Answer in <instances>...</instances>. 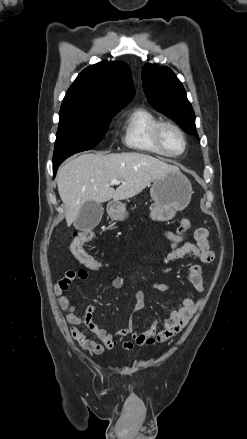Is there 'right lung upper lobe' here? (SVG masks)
I'll list each match as a JSON object with an SVG mask.
<instances>
[{"mask_svg": "<svg viewBox=\"0 0 247 439\" xmlns=\"http://www.w3.org/2000/svg\"><path fill=\"white\" fill-rule=\"evenodd\" d=\"M134 94L129 66L124 62L101 61L78 75L66 92L61 110H120Z\"/></svg>", "mask_w": 247, "mask_h": 439, "instance_id": "right-lung-upper-lobe-1", "label": "right lung upper lobe"}]
</instances>
